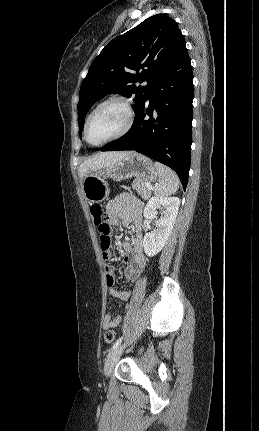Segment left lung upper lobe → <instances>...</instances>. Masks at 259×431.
Instances as JSON below:
<instances>
[{"label":"left lung upper lobe","instance_id":"obj_1","mask_svg":"<svg viewBox=\"0 0 259 431\" xmlns=\"http://www.w3.org/2000/svg\"><path fill=\"white\" fill-rule=\"evenodd\" d=\"M183 41L177 23L165 14L151 16L110 41L94 59L82 82L77 106L79 134L87 112L105 94L135 95L136 112L156 76ZM144 81L146 86H135Z\"/></svg>","mask_w":259,"mask_h":431}]
</instances>
